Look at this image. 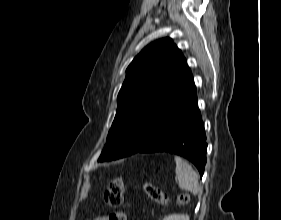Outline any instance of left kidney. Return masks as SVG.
<instances>
[{"mask_svg":"<svg viewBox=\"0 0 281 220\" xmlns=\"http://www.w3.org/2000/svg\"><path fill=\"white\" fill-rule=\"evenodd\" d=\"M163 220H189V215L172 214V215H168V216L164 217Z\"/></svg>","mask_w":281,"mask_h":220,"instance_id":"obj_1","label":"left kidney"}]
</instances>
